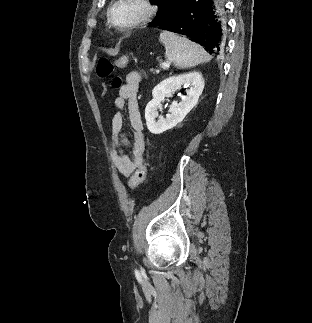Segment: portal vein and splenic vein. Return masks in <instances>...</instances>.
<instances>
[{"label":"portal vein and splenic vein","mask_w":312,"mask_h":323,"mask_svg":"<svg viewBox=\"0 0 312 323\" xmlns=\"http://www.w3.org/2000/svg\"><path fill=\"white\" fill-rule=\"evenodd\" d=\"M163 68H169L170 64H167V62H164V64H162Z\"/></svg>","instance_id":"1"}]
</instances>
